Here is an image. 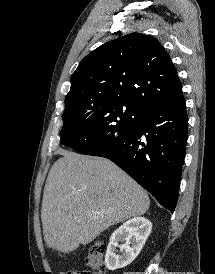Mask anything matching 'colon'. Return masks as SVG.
<instances>
[{
    "mask_svg": "<svg viewBox=\"0 0 215 274\" xmlns=\"http://www.w3.org/2000/svg\"><path fill=\"white\" fill-rule=\"evenodd\" d=\"M106 245L104 241L97 240L93 242L90 246L88 256H87V265L89 270L78 271V270H69L64 272V274H103L104 272V254H105Z\"/></svg>",
    "mask_w": 215,
    "mask_h": 274,
    "instance_id": "colon-1",
    "label": "colon"
}]
</instances>
